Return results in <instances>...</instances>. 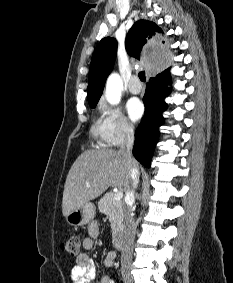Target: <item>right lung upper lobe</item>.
Wrapping results in <instances>:
<instances>
[{"label": "right lung upper lobe", "mask_w": 233, "mask_h": 283, "mask_svg": "<svg viewBox=\"0 0 233 283\" xmlns=\"http://www.w3.org/2000/svg\"><path fill=\"white\" fill-rule=\"evenodd\" d=\"M163 33L155 23L147 20L137 21L129 30L126 37L127 52L140 59L146 54V59H173V54H180V49H166L168 38H160ZM117 52L115 38H103L97 45L91 60L88 78L87 99L89 105H96L100 99L107 76L114 66ZM148 60V65H154V70H165L166 60Z\"/></svg>", "instance_id": "right-lung-upper-lobe-1"}]
</instances>
